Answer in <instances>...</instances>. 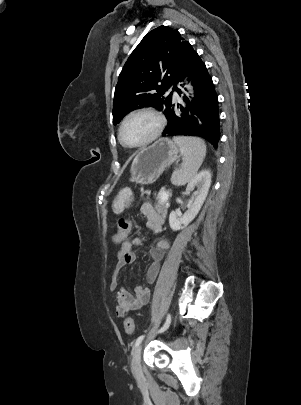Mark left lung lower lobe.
Returning a JSON list of instances; mask_svg holds the SVG:
<instances>
[{
    "mask_svg": "<svg viewBox=\"0 0 301 405\" xmlns=\"http://www.w3.org/2000/svg\"><path fill=\"white\" fill-rule=\"evenodd\" d=\"M186 76L192 80L195 97L192 102L184 95V106H180V113L174 112L173 106L166 113L168 125L164 136H198L210 142L217 148L220 140L218 97L207 68L195 51L180 79ZM182 94L179 88L175 89Z\"/></svg>",
    "mask_w": 301,
    "mask_h": 405,
    "instance_id": "1",
    "label": "left lung lower lobe"
}]
</instances>
